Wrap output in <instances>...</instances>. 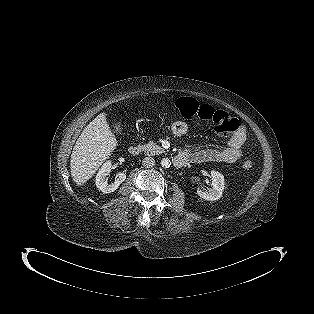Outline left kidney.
Masks as SVG:
<instances>
[{
	"label": "left kidney",
	"instance_id": "1",
	"mask_svg": "<svg viewBox=\"0 0 314 314\" xmlns=\"http://www.w3.org/2000/svg\"><path fill=\"white\" fill-rule=\"evenodd\" d=\"M211 176L213 178L212 188L204 191L201 189L197 190V194L200 198L205 199L207 201H216L222 197V193L224 190V176L218 171H211Z\"/></svg>",
	"mask_w": 314,
	"mask_h": 314
}]
</instances>
